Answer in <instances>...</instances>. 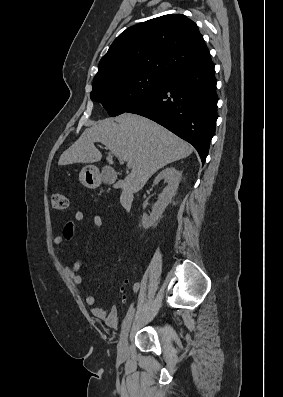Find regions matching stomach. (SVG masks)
Segmentation results:
<instances>
[{
	"mask_svg": "<svg viewBox=\"0 0 283 397\" xmlns=\"http://www.w3.org/2000/svg\"><path fill=\"white\" fill-rule=\"evenodd\" d=\"M79 179L85 187L94 189L103 181V174L99 172L96 166L87 165L82 168Z\"/></svg>",
	"mask_w": 283,
	"mask_h": 397,
	"instance_id": "1",
	"label": "stomach"
}]
</instances>
